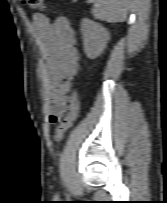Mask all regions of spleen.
<instances>
[{
	"instance_id": "1",
	"label": "spleen",
	"mask_w": 167,
	"mask_h": 203,
	"mask_svg": "<svg viewBox=\"0 0 167 203\" xmlns=\"http://www.w3.org/2000/svg\"><path fill=\"white\" fill-rule=\"evenodd\" d=\"M127 3L128 0H96L92 14L101 21L123 22L127 16Z\"/></svg>"
}]
</instances>
